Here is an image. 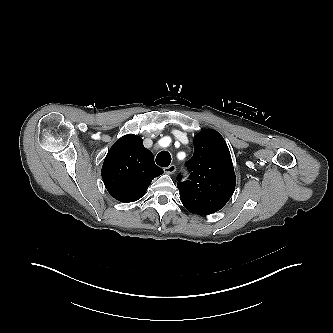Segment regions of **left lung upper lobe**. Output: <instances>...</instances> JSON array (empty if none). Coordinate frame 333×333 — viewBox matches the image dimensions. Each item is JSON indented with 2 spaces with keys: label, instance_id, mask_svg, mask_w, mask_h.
<instances>
[{
  "label": "left lung upper lobe",
  "instance_id": "left-lung-upper-lobe-1",
  "mask_svg": "<svg viewBox=\"0 0 333 333\" xmlns=\"http://www.w3.org/2000/svg\"><path fill=\"white\" fill-rule=\"evenodd\" d=\"M189 180L177 187L184 207L208 215L222 209L235 190L236 177L227 144L220 133L209 129L194 137V154L187 163Z\"/></svg>",
  "mask_w": 333,
  "mask_h": 333
}]
</instances>
